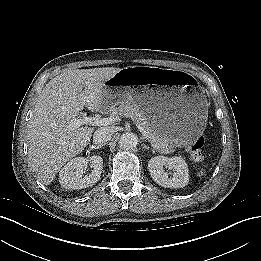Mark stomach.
<instances>
[{
	"mask_svg": "<svg viewBox=\"0 0 261 261\" xmlns=\"http://www.w3.org/2000/svg\"><path fill=\"white\" fill-rule=\"evenodd\" d=\"M133 75L145 78L140 89L119 81ZM112 80L119 83L106 86L105 108L127 102L138 105L146 112L154 131L176 146L191 145L203 132L207 101L191 76L158 67H127Z\"/></svg>",
	"mask_w": 261,
	"mask_h": 261,
	"instance_id": "obj_1",
	"label": "stomach"
}]
</instances>
